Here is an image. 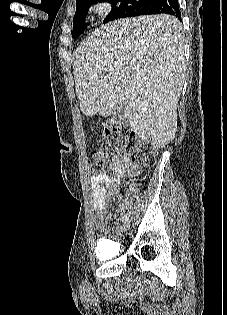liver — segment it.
Masks as SVG:
<instances>
[{"instance_id": "1", "label": "liver", "mask_w": 227, "mask_h": 315, "mask_svg": "<svg viewBox=\"0 0 227 315\" xmlns=\"http://www.w3.org/2000/svg\"><path fill=\"white\" fill-rule=\"evenodd\" d=\"M180 21L166 14L116 20L97 28L73 62L76 95L86 116L123 107L139 138L157 148L177 131L186 77Z\"/></svg>"}]
</instances>
